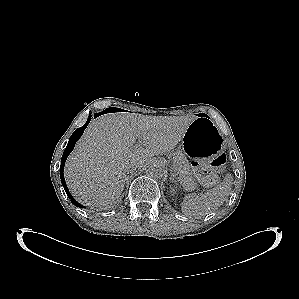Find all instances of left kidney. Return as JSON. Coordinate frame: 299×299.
I'll return each instance as SVG.
<instances>
[{"mask_svg": "<svg viewBox=\"0 0 299 299\" xmlns=\"http://www.w3.org/2000/svg\"><path fill=\"white\" fill-rule=\"evenodd\" d=\"M174 191H175V189H174V188H172V189H171V192H174Z\"/></svg>", "mask_w": 299, "mask_h": 299, "instance_id": "left-kidney-1", "label": "left kidney"}]
</instances>
